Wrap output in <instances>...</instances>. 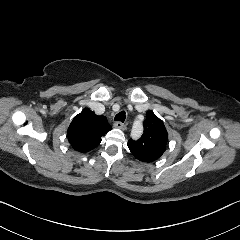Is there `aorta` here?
<instances>
[{"mask_svg": "<svg viewBox=\"0 0 240 240\" xmlns=\"http://www.w3.org/2000/svg\"><path fill=\"white\" fill-rule=\"evenodd\" d=\"M143 134V126L139 121H135L132 127L131 136L133 139L137 140Z\"/></svg>", "mask_w": 240, "mask_h": 240, "instance_id": "obj_1", "label": "aorta"}]
</instances>
